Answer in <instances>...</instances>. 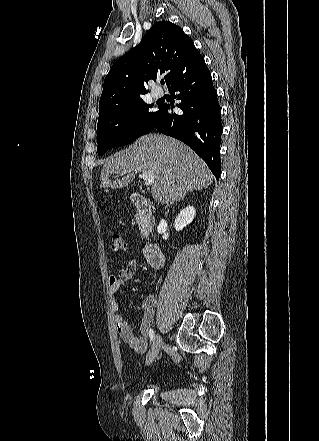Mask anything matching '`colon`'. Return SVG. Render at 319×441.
<instances>
[{
    "label": "colon",
    "instance_id": "colon-1",
    "mask_svg": "<svg viewBox=\"0 0 319 441\" xmlns=\"http://www.w3.org/2000/svg\"><path fill=\"white\" fill-rule=\"evenodd\" d=\"M127 248L126 241L121 234L115 233L112 235L111 250L113 252H125Z\"/></svg>",
    "mask_w": 319,
    "mask_h": 441
}]
</instances>
